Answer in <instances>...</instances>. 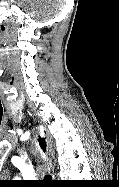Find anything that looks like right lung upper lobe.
Masks as SVG:
<instances>
[{
    "label": "right lung upper lobe",
    "mask_w": 119,
    "mask_h": 187,
    "mask_svg": "<svg viewBox=\"0 0 119 187\" xmlns=\"http://www.w3.org/2000/svg\"><path fill=\"white\" fill-rule=\"evenodd\" d=\"M39 143H40V146H41V148H43L44 149V147H46V142H45V139L44 138H39Z\"/></svg>",
    "instance_id": "cb5924a9"
}]
</instances>
